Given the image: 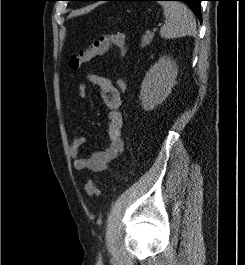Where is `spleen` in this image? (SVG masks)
Returning <instances> with one entry per match:
<instances>
[{"label": "spleen", "mask_w": 245, "mask_h": 265, "mask_svg": "<svg viewBox=\"0 0 245 265\" xmlns=\"http://www.w3.org/2000/svg\"><path fill=\"white\" fill-rule=\"evenodd\" d=\"M165 25L160 29V36L165 39L195 35L196 21L191 10L181 2L160 1Z\"/></svg>", "instance_id": "obj_1"}]
</instances>
